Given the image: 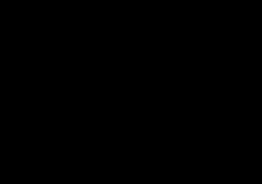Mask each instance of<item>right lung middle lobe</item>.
Here are the masks:
<instances>
[{"label": "right lung middle lobe", "instance_id": "right-lung-middle-lobe-1", "mask_svg": "<svg viewBox=\"0 0 262 184\" xmlns=\"http://www.w3.org/2000/svg\"><path fill=\"white\" fill-rule=\"evenodd\" d=\"M94 41H82L79 43L68 45L58 51L57 61H56V73L60 77H67L68 84L60 89V94H73V87L70 85L73 74L75 72L77 57H78V48L79 44L87 43L88 45L93 44Z\"/></svg>", "mask_w": 262, "mask_h": 184}]
</instances>
